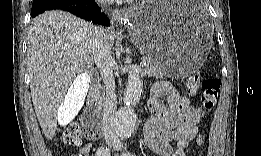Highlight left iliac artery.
<instances>
[{"label":"left iliac artery","mask_w":261,"mask_h":156,"mask_svg":"<svg viewBox=\"0 0 261 156\" xmlns=\"http://www.w3.org/2000/svg\"><path fill=\"white\" fill-rule=\"evenodd\" d=\"M123 155H125V156H133V154L132 153H130V152H125Z\"/></svg>","instance_id":"44dca946"}]
</instances>
